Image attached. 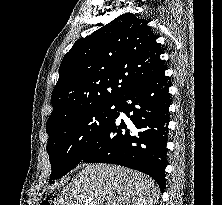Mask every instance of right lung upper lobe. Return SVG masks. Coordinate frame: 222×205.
Wrapping results in <instances>:
<instances>
[{"instance_id": "1", "label": "right lung upper lobe", "mask_w": 222, "mask_h": 205, "mask_svg": "<svg viewBox=\"0 0 222 205\" xmlns=\"http://www.w3.org/2000/svg\"><path fill=\"white\" fill-rule=\"evenodd\" d=\"M147 21L125 13L75 42L59 68L46 125L88 106L120 101L141 81L164 69Z\"/></svg>"}]
</instances>
